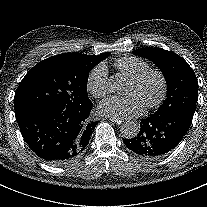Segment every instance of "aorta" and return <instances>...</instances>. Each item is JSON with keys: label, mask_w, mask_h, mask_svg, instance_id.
<instances>
[{"label": "aorta", "mask_w": 207, "mask_h": 207, "mask_svg": "<svg viewBox=\"0 0 207 207\" xmlns=\"http://www.w3.org/2000/svg\"><path fill=\"white\" fill-rule=\"evenodd\" d=\"M127 87V79L120 73L114 74L109 79V88L111 92L122 94ZM140 127L133 121H126L120 127L122 136L126 139H131L137 136Z\"/></svg>", "instance_id": "1"}]
</instances>
